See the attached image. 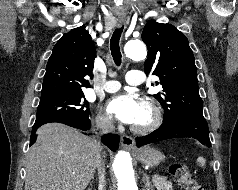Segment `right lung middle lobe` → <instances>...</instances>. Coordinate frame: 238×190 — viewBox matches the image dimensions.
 Wrapping results in <instances>:
<instances>
[{"mask_svg": "<svg viewBox=\"0 0 238 190\" xmlns=\"http://www.w3.org/2000/svg\"><path fill=\"white\" fill-rule=\"evenodd\" d=\"M89 113V103L84 99L83 92L58 94L40 98L35 122L87 118Z\"/></svg>", "mask_w": 238, "mask_h": 190, "instance_id": "1", "label": "right lung middle lobe"}]
</instances>
